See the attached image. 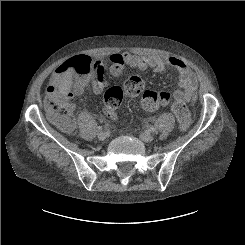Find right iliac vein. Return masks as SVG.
Here are the masks:
<instances>
[{
    "instance_id": "right-iliac-vein-1",
    "label": "right iliac vein",
    "mask_w": 245,
    "mask_h": 245,
    "mask_svg": "<svg viewBox=\"0 0 245 245\" xmlns=\"http://www.w3.org/2000/svg\"><path fill=\"white\" fill-rule=\"evenodd\" d=\"M107 138V135L105 132H100L98 134V139L101 140V141H104L105 139Z\"/></svg>"
}]
</instances>
